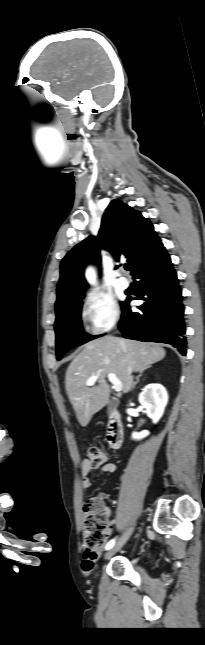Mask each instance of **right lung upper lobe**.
Listing matches in <instances>:
<instances>
[{"instance_id": "obj_1", "label": "right lung upper lobe", "mask_w": 205, "mask_h": 645, "mask_svg": "<svg viewBox=\"0 0 205 645\" xmlns=\"http://www.w3.org/2000/svg\"><path fill=\"white\" fill-rule=\"evenodd\" d=\"M100 247L116 260L124 255L132 265L133 276L168 255L150 221L123 202L113 200L103 215L98 236L87 237L62 260L56 314L84 294L88 287L83 276L85 266L98 261Z\"/></svg>"}]
</instances>
